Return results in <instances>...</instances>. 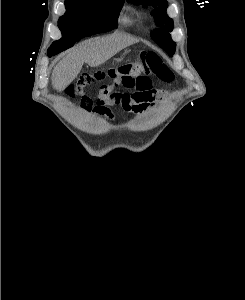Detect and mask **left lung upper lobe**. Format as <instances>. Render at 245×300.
Returning <instances> with one entry per match:
<instances>
[{"mask_svg": "<svg viewBox=\"0 0 245 300\" xmlns=\"http://www.w3.org/2000/svg\"><path fill=\"white\" fill-rule=\"evenodd\" d=\"M144 7L150 5L154 8L151 14L156 21L157 29L151 32L152 39L162 47L169 55L174 54L176 44L171 39L170 32L173 30V20L166 14L168 3L166 0H127Z\"/></svg>", "mask_w": 245, "mask_h": 300, "instance_id": "left-lung-upper-lobe-1", "label": "left lung upper lobe"}]
</instances>
